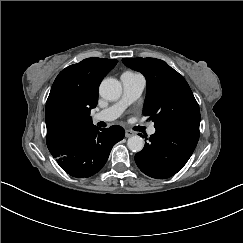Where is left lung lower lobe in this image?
<instances>
[{
    "label": "left lung lower lobe",
    "instance_id": "left-lung-lower-lobe-1",
    "mask_svg": "<svg viewBox=\"0 0 243 243\" xmlns=\"http://www.w3.org/2000/svg\"><path fill=\"white\" fill-rule=\"evenodd\" d=\"M199 130L186 127L156 129L135 155V162L146 175L165 179L179 172L191 157L198 139ZM146 138V137H145Z\"/></svg>",
    "mask_w": 243,
    "mask_h": 243
}]
</instances>
